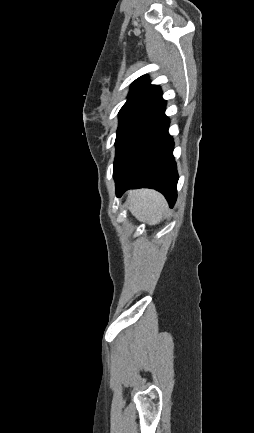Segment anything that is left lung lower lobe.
Listing matches in <instances>:
<instances>
[{
  "label": "left lung lower lobe",
  "mask_w": 254,
  "mask_h": 433,
  "mask_svg": "<svg viewBox=\"0 0 254 433\" xmlns=\"http://www.w3.org/2000/svg\"><path fill=\"white\" fill-rule=\"evenodd\" d=\"M166 102L142 126L117 171L113 174L116 195L129 188H153L166 197L173 207L177 197L178 174L173 157V139L168 134L169 118Z\"/></svg>",
  "instance_id": "1"
}]
</instances>
